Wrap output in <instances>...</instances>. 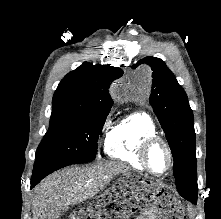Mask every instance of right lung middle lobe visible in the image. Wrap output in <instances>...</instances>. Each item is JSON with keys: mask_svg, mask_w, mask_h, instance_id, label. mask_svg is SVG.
Segmentation results:
<instances>
[{"mask_svg": "<svg viewBox=\"0 0 221 219\" xmlns=\"http://www.w3.org/2000/svg\"><path fill=\"white\" fill-rule=\"evenodd\" d=\"M108 113L83 115L53 110L49 130L37 148L36 159L52 156L73 164L94 160L98 136Z\"/></svg>", "mask_w": 221, "mask_h": 219, "instance_id": "right-lung-middle-lobe-1", "label": "right lung middle lobe"}]
</instances>
